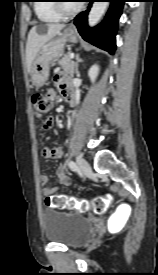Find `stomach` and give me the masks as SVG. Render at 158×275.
I'll return each mask as SVG.
<instances>
[{
  "mask_svg": "<svg viewBox=\"0 0 158 275\" xmlns=\"http://www.w3.org/2000/svg\"><path fill=\"white\" fill-rule=\"evenodd\" d=\"M77 41V33L71 28H66L56 38L51 39L41 47L30 71L35 87L39 88L47 81L50 66L55 60L63 56L66 43H77Z\"/></svg>",
  "mask_w": 158,
  "mask_h": 275,
  "instance_id": "0dacf381",
  "label": "stomach"
}]
</instances>
